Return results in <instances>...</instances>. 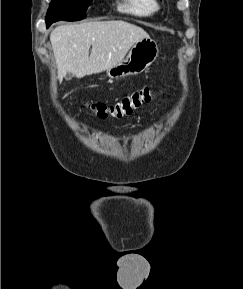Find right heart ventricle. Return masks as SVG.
Segmentation results:
<instances>
[{"mask_svg":"<svg viewBox=\"0 0 243 289\" xmlns=\"http://www.w3.org/2000/svg\"><path fill=\"white\" fill-rule=\"evenodd\" d=\"M159 8L158 0H119L117 4L119 12L141 18L153 16Z\"/></svg>","mask_w":243,"mask_h":289,"instance_id":"obj_1","label":"right heart ventricle"}]
</instances>
